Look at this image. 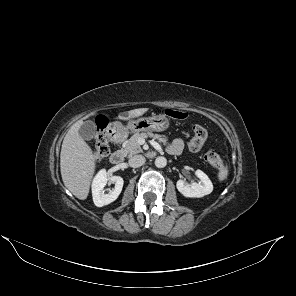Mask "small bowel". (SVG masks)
I'll return each mask as SVG.
<instances>
[{
	"instance_id": "1",
	"label": "small bowel",
	"mask_w": 296,
	"mask_h": 296,
	"mask_svg": "<svg viewBox=\"0 0 296 296\" xmlns=\"http://www.w3.org/2000/svg\"><path fill=\"white\" fill-rule=\"evenodd\" d=\"M184 148V141L181 138L174 139L169 145H168V152L172 155H179Z\"/></svg>"
}]
</instances>
